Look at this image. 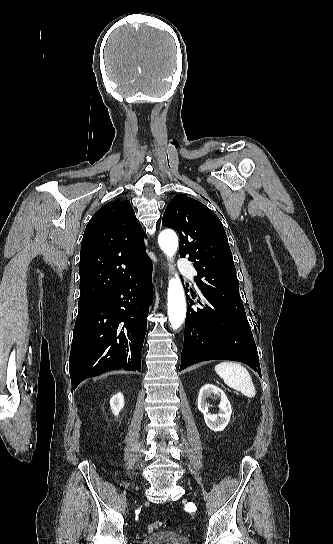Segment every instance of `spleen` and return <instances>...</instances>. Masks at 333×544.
Returning <instances> with one entry per match:
<instances>
[{"label": "spleen", "instance_id": "1", "mask_svg": "<svg viewBox=\"0 0 333 544\" xmlns=\"http://www.w3.org/2000/svg\"><path fill=\"white\" fill-rule=\"evenodd\" d=\"M215 371L230 388L240 391L248 398L255 396L256 390L251 376L241 364L224 361L215 366Z\"/></svg>", "mask_w": 333, "mask_h": 544}]
</instances>
